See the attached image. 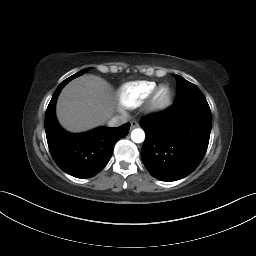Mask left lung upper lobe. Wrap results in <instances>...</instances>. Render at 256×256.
<instances>
[{
  "mask_svg": "<svg viewBox=\"0 0 256 256\" xmlns=\"http://www.w3.org/2000/svg\"><path fill=\"white\" fill-rule=\"evenodd\" d=\"M175 79L178 83V97L176 103H182L195 99H206L199 88L193 83L185 80L179 75H176Z\"/></svg>",
  "mask_w": 256,
  "mask_h": 256,
  "instance_id": "left-lung-upper-lobe-1",
  "label": "left lung upper lobe"
}]
</instances>
